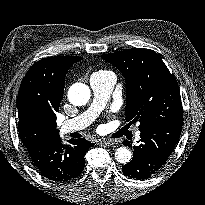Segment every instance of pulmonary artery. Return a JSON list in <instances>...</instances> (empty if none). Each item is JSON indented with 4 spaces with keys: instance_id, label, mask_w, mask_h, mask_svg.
<instances>
[{
    "instance_id": "1",
    "label": "pulmonary artery",
    "mask_w": 205,
    "mask_h": 205,
    "mask_svg": "<svg viewBox=\"0 0 205 205\" xmlns=\"http://www.w3.org/2000/svg\"><path fill=\"white\" fill-rule=\"evenodd\" d=\"M90 87L93 91V101L89 108L80 115L65 120L60 125L62 133L79 131L89 126L106 106L114 85L116 76L110 71L95 72L90 77ZM137 138L140 136L138 132Z\"/></svg>"
}]
</instances>
